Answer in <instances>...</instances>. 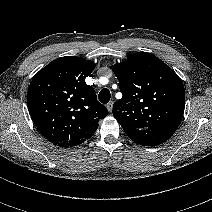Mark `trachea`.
<instances>
[{
	"label": "trachea",
	"mask_w": 212,
	"mask_h": 212,
	"mask_svg": "<svg viewBox=\"0 0 212 212\" xmlns=\"http://www.w3.org/2000/svg\"><path fill=\"white\" fill-rule=\"evenodd\" d=\"M110 97H111V93L107 88L102 89L98 95L99 101L103 104L108 103L110 100Z\"/></svg>",
	"instance_id": "3493384b"
}]
</instances>
